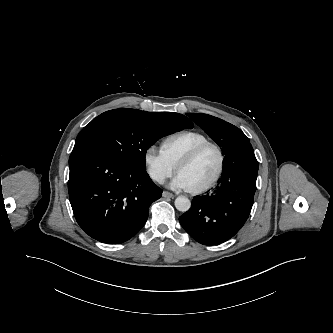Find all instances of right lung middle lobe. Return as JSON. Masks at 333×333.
Masks as SVG:
<instances>
[{
    "label": "right lung middle lobe",
    "instance_id": "obj_1",
    "mask_svg": "<svg viewBox=\"0 0 333 333\" xmlns=\"http://www.w3.org/2000/svg\"><path fill=\"white\" fill-rule=\"evenodd\" d=\"M192 127L176 117L151 120L138 110L121 108L93 119L78 134L74 148L93 147L132 169L144 171L146 151L151 144L163 135Z\"/></svg>",
    "mask_w": 333,
    "mask_h": 333
}]
</instances>
